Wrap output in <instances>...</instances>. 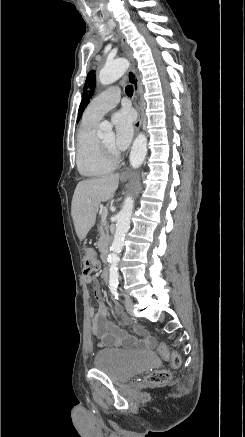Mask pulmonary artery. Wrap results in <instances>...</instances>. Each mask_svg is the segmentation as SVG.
<instances>
[{"label":"pulmonary artery","instance_id":"1","mask_svg":"<svg viewBox=\"0 0 245 437\" xmlns=\"http://www.w3.org/2000/svg\"><path fill=\"white\" fill-rule=\"evenodd\" d=\"M119 100L120 89L118 87H110L90 102L84 115L94 120H100L106 112L117 105Z\"/></svg>","mask_w":245,"mask_h":437}]
</instances>
